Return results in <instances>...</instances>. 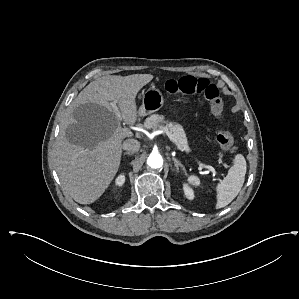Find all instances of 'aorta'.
Returning <instances> with one entry per match:
<instances>
[{
    "label": "aorta",
    "mask_w": 299,
    "mask_h": 299,
    "mask_svg": "<svg viewBox=\"0 0 299 299\" xmlns=\"http://www.w3.org/2000/svg\"><path fill=\"white\" fill-rule=\"evenodd\" d=\"M147 165L153 169L161 168L163 165L162 156L158 153H151L147 159Z\"/></svg>",
    "instance_id": "1"
}]
</instances>
